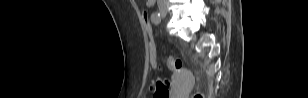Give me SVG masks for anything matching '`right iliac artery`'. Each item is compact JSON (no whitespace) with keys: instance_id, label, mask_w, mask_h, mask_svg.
Segmentation results:
<instances>
[{"instance_id":"82829eb1","label":"right iliac artery","mask_w":308,"mask_h":98,"mask_svg":"<svg viewBox=\"0 0 308 98\" xmlns=\"http://www.w3.org/2000/svg\"><path fill=\"white\" fill-rule=\"evenodd\" d=\"M151 20H152V22L154 24H159L161 22V15H160V13H157V12L153 13L151 15Z\"/></svg>"}]
</instances>
